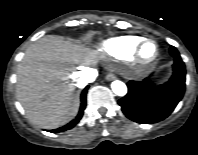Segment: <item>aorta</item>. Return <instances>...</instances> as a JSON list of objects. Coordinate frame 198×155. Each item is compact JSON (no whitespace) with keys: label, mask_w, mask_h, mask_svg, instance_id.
I'll return each mask as SVG.
<instances>
[{"label":"aorta","mask_w":198,"mask_h":155,"mask_svg":"<svg viewBox=\"0 0 198 155\" xmlns=\"http://www.w3.org/2000/svg\"><path fill=\"white\" fill-rule=\"evenodd\" d=\"M112 90L119 97H123L127 94V86L122 81H114L112 83Z\"/></svg>","instance_id":"obj_1"}]
</instances>
